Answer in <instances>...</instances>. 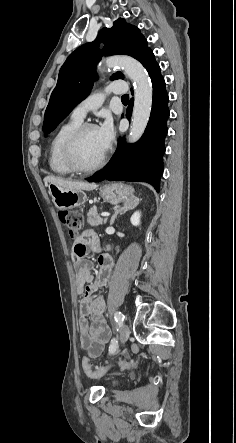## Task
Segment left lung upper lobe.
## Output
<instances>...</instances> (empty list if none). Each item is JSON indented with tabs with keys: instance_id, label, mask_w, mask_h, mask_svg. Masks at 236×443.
<instances>
[{
	"instance_id": "5c2ea615",
	"label": "left lung upper lobe",
	"mask_w": 236,
	"mask_h": 443,
	"mask_svg": "<svg viewBox=\"0 0 236 443\" xmlns=\"http://www.w3.org/2000/svg\"><path fill=\"white\" fill-rule=\"evenodd\" d=\"M103 42L102 50L98 49ZM151 49L139 29L119 18L113 27L103 28L95 41L84 44L73 51L60 69L58 81L45 112L42 130L44 134L56 126L83 100L92 89L97 75L95 67L103 55L125 54L144 62ZM117 72L111 78L123 79Z\"/></svg>"
}]
</instances>
